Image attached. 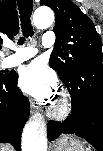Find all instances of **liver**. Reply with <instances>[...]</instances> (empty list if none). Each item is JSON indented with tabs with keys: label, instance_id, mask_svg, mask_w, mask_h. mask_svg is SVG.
<instances>
[{
	"label": "liver",
	"instance_id": "6515ba94",
	"mask_svg": "<svg viewBox=\"0 0 103 151\" xmlns=\"http://www.w3.org/2000/svg\"><path fill=\"white\" fill-rule=\"evenodd\" d=\"M1 151H13V148L10 145H5L1 147Z\"/></svg>",
	"mask_w": 103,
	"mask_h": 151
}]
</instances>
